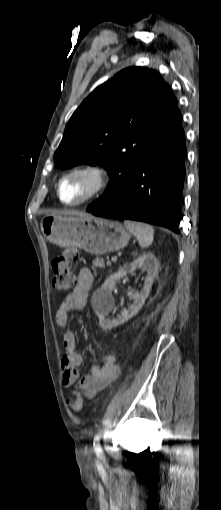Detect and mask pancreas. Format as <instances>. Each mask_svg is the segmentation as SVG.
I'll list each match as a JSON object with an SVG mask.
<instances>
[{
    "label": "pancreas",
    "mask_w": 221,
    "mask_h": 510,
    "mask_svg": "<svg viewBox=\"0 0 221 510\" xmlns=\"http://www.w3.org/2000/svg\"><path fill=\"white\" fill-rule=\"evenodd\" d=\"M92 264H93L94 267H97V268H105V261L102 258L94 259ZM109 264L110 263H107V265H109Z\"/></svg>",
    "instance_id": "cf45deb5"
}]
</instances>
